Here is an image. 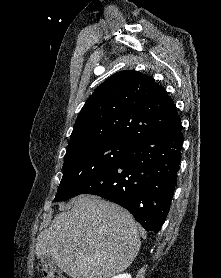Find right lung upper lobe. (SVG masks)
<instances>
[{
    "label": "right lung upper lobe",
    "mask_w": 221,
    "mask_h": 278,
    "mask_svg": "<svg viewBox=\"0 0 221 278\" xmlns=\"http://www.w3.org/2000/svg\"><path fill=\"white\" fill-rule=\"evenodd\" d=\"M181 124L173 100L151 77L126 70L113 74L89 97L67 150L93 139L133 141Z\"/></svg>",
    "instance_id": "obj_1"
}]
</instances>
